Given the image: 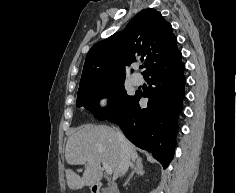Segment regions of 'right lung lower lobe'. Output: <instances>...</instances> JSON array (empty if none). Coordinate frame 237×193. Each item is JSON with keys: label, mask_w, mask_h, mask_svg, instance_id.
<instances>
[{"label": "right lung lower lobe", "mask_w": 237, "mask_h": 193, "mask_svg": "<svg viewBox=\"0 0 237 193\" xmlns=\"http://www.w3.org/2000/svg\"><path fill=\"white\" fill-rule=\"evenodd\" d=\"M184 68L179 50L156 63L143 75L150 83L148 92H136L118 114L107 118L120 125L133 144L151 152L164 169L174 154L177 118L185 94ZM142 97L149 98L146 108L138 104Z\"/></svg>", "instance_id": "obj_1"}]
</instances>
